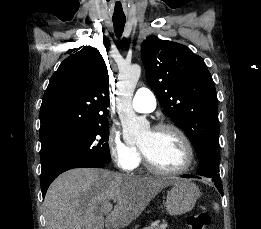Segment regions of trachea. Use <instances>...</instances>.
I'll list each match as a JSON object with an SVG mask.
<instances>
[{
	"label": "trachea",
	"mask_w": 261,
	"mask_h": 229,
	"mask_svg": "<svg viewBox=\"0 0 261 229\" xmlns=\"http://www.w3.org/2000/svg\"><path fill=\"white\" fill-rule=\"evenodd\" d=\"M125 22H126V17L113 16L114 31L118 38H120L122 35Z\"/></svg>",
	"instance_id": "3493384b"
}]
</instances>
